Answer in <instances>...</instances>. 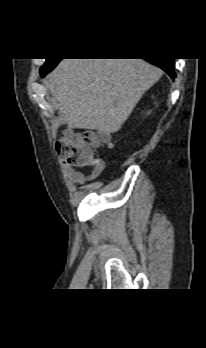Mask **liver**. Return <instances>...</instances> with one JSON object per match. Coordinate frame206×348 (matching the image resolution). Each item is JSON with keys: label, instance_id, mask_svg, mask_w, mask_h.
<instances>
[{"label": "liver", "instance_id": "6515ba94", "mask_svg": "<svg viewBox=\"0 0 206 348\" xmlns=\"http://www.w3.org/2000/svg\"><path fill=\"white\" fill-rule=\"evenodd\" d=\"M162 74L143 59H63L47 86L70 128L110 134Z\"/></svg>", "mask_w": 206, "mask_h": 348}]
</instances>
